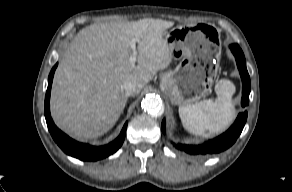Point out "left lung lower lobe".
<instances>
[{"mask_svg":"<svg viewBox=\"0 0 292 192\" xmlns=\"http://www.w3.org/2000/svg\"><path fill=\"white\" fill-rule=\"evenodd\" d=\"M230 49L234 54L237 62V66L240 71V75L243 82L242 91V106L249 104V93H250V77L246 69V61L241 48L237 44L230 45ZM247 111L238 115L235 123L226 131L224 134L220 135L216 139L210 140L203 145H176V148L183 150L192 155H207L213 153H219L221 151L229 148L241 134L243 127L246 123ZM162 131H165V120H163L161 125Z\"/></svg>","mask_w":292,"mask_h":192,"instance_id":"left-lung-lower-lobe-1","label":"left lung lower lobe"}]
</instances>
